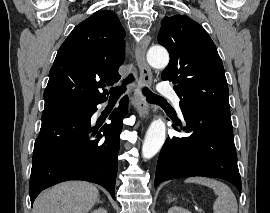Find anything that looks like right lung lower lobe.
<instances>
[{
  "mask_svg": "<svg viewBox=\"0 0 270 213\" xmlns=\"http://www.w3.org/2000/svg\"><path fill=\"white\" fill-rule=\"evenodd\" d=\"M106 99L81 108L43 111L40 133L34 144L29 183L32 204L42 190L68 180L97 183L115 199L117 154L128 97H123L118 108L111 113V124H105L98 131L91 127L90 120L96 106Z\"/></svg>",
  "mask_w": 270,
  "mask_h": 213,
  "instance_id": "98d812e1",
  "label": "right lung lower lobe"
}]
</instances>
